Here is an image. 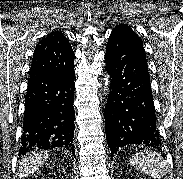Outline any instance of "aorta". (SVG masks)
Instances as JSON below:
<instances>
[{
    "label": "aorta",
    "mask_w": 183,
    "mask_h": 179,
    "mask_svg": "<svg viewBox=\"0 0 183 179\" xmlns=\"http://www.w3.org/2000/svg\"><path fill=\"white\" fill-rule=\"evenodd\" d=\"M109 88H110V76L109 74L105 75L104 77V89H103V94L105 96H108L109 94Z\"/></svg>",
    "instance_id": "1"
}]
</instances>
